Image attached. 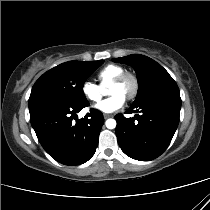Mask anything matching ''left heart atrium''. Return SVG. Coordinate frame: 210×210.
Listing matches in <instances>:
<instances>
[{"label": "left heart atrium", "mask_w": 210, "mask_h": 210, "mask_svg": "<svg viewBox=\"0 0 210 210\" xmlns=\"http://www.w3.org/2000/svg\"><path fill=\"white\" fill-rule=\"evenodd\" d=\"M125 103V98L120 94H114L99 102L95 108L103 113H113L120 110Z\"/></svg>", "instance_id": "1"}]
</instances>
